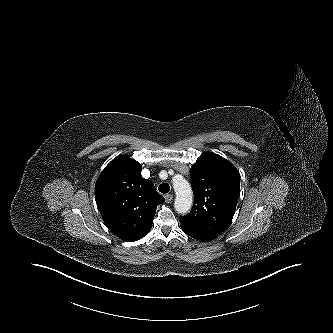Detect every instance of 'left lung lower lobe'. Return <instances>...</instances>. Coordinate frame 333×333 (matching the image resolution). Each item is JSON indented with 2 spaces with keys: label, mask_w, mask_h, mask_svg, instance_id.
Returning a JSON list of instances; mask_svg holds the SVG:
<instances>
[{
  "label": "left lung lower lobe",
  "mask_w": 333,
  "mask_h": 333,
  "mask_svg": "<svg viewBox=\"0 0 333 333\" xmlns=\"http://www.w3.org/2000/svg\"><path fill=\"white\" fill-rule=\"evenodd\" d=\"M182 230H183L187 235H189V236L192 237V238H195V239H198V240H202V241H208V240H209V239H207V238H205V237H203V236H201V235H198V234H196V233L190 232V231H188V230H186V229H184V228H182Z\"/></svg>",
  "instance_id": "0a47b994"
}]
</instances>
